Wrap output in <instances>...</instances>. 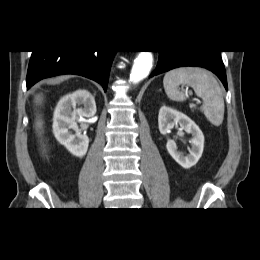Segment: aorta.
Returning a JSON list of instances; mask_svg holds the SVG:
<instances>
[{"instance_id": "aorta-1", "label": "aorta", "mask_w": 260, "mask_h": 260, "mask_svg": "<svg viewBox=\"0 0 260 260\" xmlns=\"http://www.w3.org/2000/svg\"><path fill=\"white\" fill-rule=\"evenodd\" d=\"M153 55L150 51H142L134 60L132 66L130 81L138 83L146 78L152 68Z\"/></svg>"}]
</instances>
